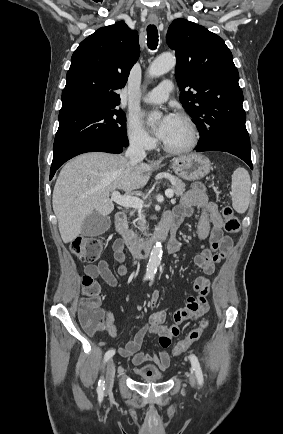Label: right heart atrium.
Listing matches in <instances>:
<instances>
[{"label": "right heart atrium", "instance_id": "right-heart-atrium-1", "mask_svg": "<svg viewBox=\"0 0 283 434\" xmlns=\"http://www.w3.org/2000/svg\"><path fill=\"white\" fill-rule=\"evenodd\" d=\"M126 133L129 143L141 150H150L155 145V140L143 128L135 117H129L126 123Z\"/></svg>", "mask_w": 283, "mask_h": 434}]
</instances>
